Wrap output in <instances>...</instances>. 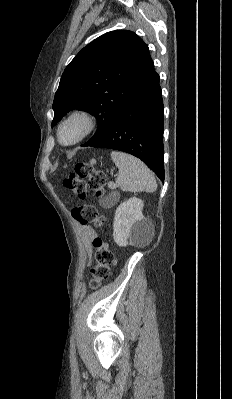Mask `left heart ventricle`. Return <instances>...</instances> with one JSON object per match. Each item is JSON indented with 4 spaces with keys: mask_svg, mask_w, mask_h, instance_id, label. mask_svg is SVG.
I'll return each mask as SVG.
<instances>
[{
    "mask_svg": "<svg viewBox=\"0 0 232 399\" xmlns=\"http://www.w3.org/2000/svg\"><path fill=\"white\" fill-rule=\"evenodd\" d=\"M85 124L82 119H73L64 125L61 131V139L65 143L74 141L83 132Z\"/></svg>",
    "mask_w": 232,
    "mask_h": 399,
    "instance_id": "obj_1",
    "label": "left heart ventricle"
}]
</instances>
